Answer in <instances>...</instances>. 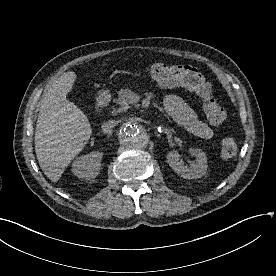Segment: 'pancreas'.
Segmentation results:
<instances>
[{
	"label": "pancreas",
	"instance_id": "obj_1",
	"mask_svg": "<svg viewBox=\"0 0 276 276\" xmlns=\"http://www.w3.org/2000/svg\"><path fill=\"white\" fill-rule=\"evenodd\" d=\"M133 92L130 89H121L118 92V98L115 102L120 106L117 110H114V113H120L129 108V105L132 103Z\"/></svg>",
	"mask_w": 276,
	"mask_h": 276
}]
</instances>
